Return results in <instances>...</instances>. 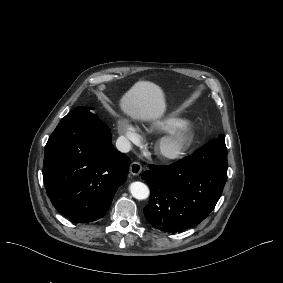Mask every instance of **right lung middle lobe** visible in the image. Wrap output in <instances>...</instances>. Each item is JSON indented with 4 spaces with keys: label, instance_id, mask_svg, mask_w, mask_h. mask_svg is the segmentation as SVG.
Returning <instances> with one entry per match:
<instances>
[{
    "label": "right lung middle lobe",
    "instance_id": "right-lung-middle-lobe-1",
    "mask_svg": "<svg viewBox=\"0 0 283 283\" xmlns=\"http://www.w3.org/2000/svg\"><path fill=\"white\" fill-rule=\"evenodd\" d=\"M91 108L88 107H78L71 111L69 114H67L61 121L60 123H65V122H83V123H88L92 125H102L105 124L103 123L97 115L93 114L90 112Z\"/></svg>",
    "mask_w": 283,
    "mask_h": 283
}]
</instances>
